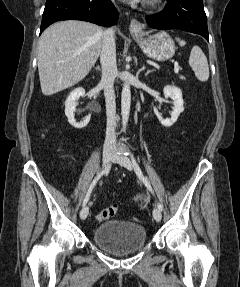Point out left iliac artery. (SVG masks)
Masks as SVG:
<instances>
[{"label": "left iliac artery", "mask_w": 240, "mask_h": 287, "mask_svg": "<svg viewBox=\"0 0 240 287\" xmlns=\"http://www.w3.org/2000/svg\"><path fill=\"white\" fill-rule=\"evenodd\" d=\"M131 160H132V163H133V167L135 169V172L137 174V176L139 177L140 180H142V182L145 184V186L147 187V189H149L152 193H153V190H152V187L149 183V181L147 180V178L143 175L138 163L136 162L134 156L131 154ZM157 207L160 211H162V205L157 202Z\"/></svg>", "instance_id": "obj_1"}]
</instances>
